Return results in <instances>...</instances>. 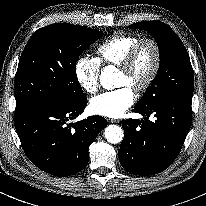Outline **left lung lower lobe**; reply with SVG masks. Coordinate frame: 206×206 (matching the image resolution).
<instances>
[{
	"label": "left lung lower lobe",
	"instance_id": "obj_1",
	"mask_svg": "<svg viewBox=\"0 0 206 206\" xmlns=\"http://www.w3.org/2000/svg\"><path fill=\"white\" fill-rule=\"evenodd\" d=\"M192 97L161 100L133 112L144 118L122 121L124 139L119 160L131 174L147 176L170 166L181 151L192 122ZM154 115L155 121L149 120Z\"/></svg>",
	"mask_w": 206,
	"mask_h": 206
}]
</instances>
